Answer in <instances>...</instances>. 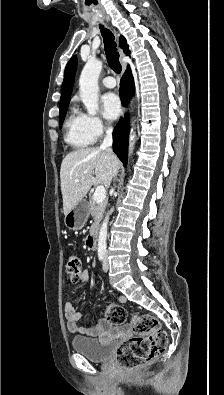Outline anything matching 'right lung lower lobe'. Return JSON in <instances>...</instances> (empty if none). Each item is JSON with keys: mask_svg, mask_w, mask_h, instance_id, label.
I'll use <instances>...</instances> for the list:
<instances>
[{"mask_svg": "<svg viewBox=\"0 0 224 395\" xmlns=\"http://www.w3.org/2000/svg\"><path fill=\"white\" fill-rule=\"evenodd\" d=\"M134 93V81L128 68L121 79L120 83V98L123 104H126ZM129 136V122L128 118L121 119L113 131V150L123 162L127 163V149Z\"/></svg>", "mask_w": 224, "mask_h": 395, "instance_id": "obj_1", "label": "right lung lower lobe"}]
</instances>
